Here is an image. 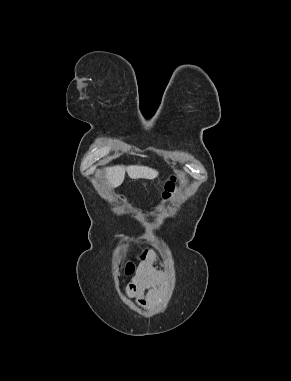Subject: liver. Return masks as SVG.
<instances>
[{"label":"liver","mask_w":291,"mask_h":381,"mask_svg":"<svg viewBox=\"0 0 291 381\" xmlns=\"http://www.w3.org/2000/svg\"><path fill=\"white\" fill-rule=\"evenodd\" d=\"M106 179L111 187L116 188L120 186L125 178V172L131 179H153L158 175V172L146 166H122L117 165L113 167L106 168Z\"/></svg>","instance_id":"obj_1"}]
</instances>
